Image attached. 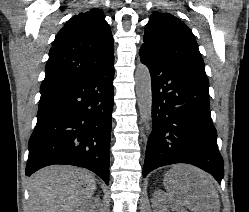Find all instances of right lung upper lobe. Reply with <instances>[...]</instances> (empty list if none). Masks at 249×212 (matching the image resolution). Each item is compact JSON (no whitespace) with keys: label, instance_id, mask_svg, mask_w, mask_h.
<instances>
[{"label":"right lung upper lobe","instance_id":"obj_1","mask_svg":"<svg viewBox=\"0 0 249 212\" xmlns=\"http://www.w3.org/2000/svg\"><path fill=\"white\" fill-rule=\"evenodd\" d=\"M113 53V36L102 10L73 16L52 43L40 90L96 72L114 60Z\"/></svg>","mask_w":249,"mask_h":212}]
</instances>
